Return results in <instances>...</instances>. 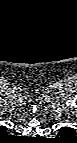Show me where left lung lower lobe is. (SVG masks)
Returning a JSON list of instances; mask_svg holds the SVG:
<instances>
[{
  "label": "left lung lower lobe",
  "mask_w": 77,
  "mask_h": 143,
  "mask_svg": "<svg viewBox=\"0 0 77 143\" xmlns=\"http://www.w3.org/2000/svg\"><path fill=\"white\" fill-rule=\"evenodd\" d=\"M59 133L63 134V131H62V130H60V132H59Z\"/></svg>",
  "instance_id": "0a47b994"
}]
</instances>
